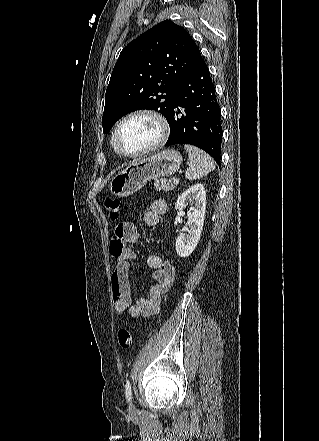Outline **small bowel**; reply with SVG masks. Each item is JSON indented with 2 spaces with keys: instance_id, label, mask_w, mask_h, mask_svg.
Returning a JSON list of instances; mask_svg holds the SVG:
<instances>
[{
  "instance_id": "c3829d8e",
  "label": "small bowel",
  "mask_w": 319,
  "mask_h": 441,
  "mask_svg": "<svg viewBox=\"0 0 319 441\" xmlns=\"http://www.w3.org/2000/svg\"><path fill=\"white\" fill-rule=\"evenodd\" d=\"M167 211L164 199H156L144 214L146 225L154 227ZM137 227L130 222L120 223L110 241V254L116 258V267L111 275V294L114 309L117 313H128L134 317H150L159 312L161 297L171 287L174 280V268L159 255H149L147 265L152 269L155 284L151 286L147 296L132 301L130 284V267L136 259L135 252L128 247L129 243L138 240Z\"/></svg>"
}]
</instances>
